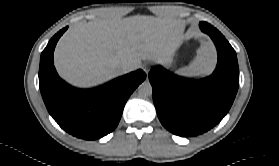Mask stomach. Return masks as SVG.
Segmentation results:
<instances>
[{
  "mask_svg": "<svg viewBox=\"0 0 279 166\" xmlns=\"http://www.w3.org/2000/svg\"><path fill=\"white\" fill-rule=\"evenodd\" d=\"M173 61H174V54L169 56L165 61H163V63L170 66L173 63Z\"/></svg>",
  "mask_w": 279,
  "mask_h": 166,
  "instance_id": "obj_1",
  "label": "stomach"
}]
</instances>
